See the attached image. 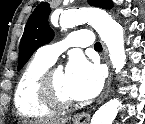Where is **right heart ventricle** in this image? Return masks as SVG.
<instances>
[{
    "label": "right heart ventricle",
    "instance_id": "1",
    "mask_svg": "<svg viewBox=\"0 0 145 124\" xmlns=\"http://www.w3.org/2000/svg\"><path fill=\"white\" fill-rule=\"evenodd\" d=\"M49 61L35 56L21 73L14 94L17 112L24 118H43L52 115L53 109L40 100L39 80L51 66Z\"/></svg>",
    "mask_w": 145,
    "mask_h": 124
}]
</instances>
